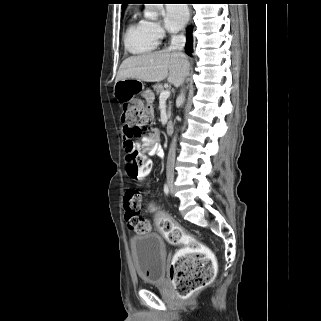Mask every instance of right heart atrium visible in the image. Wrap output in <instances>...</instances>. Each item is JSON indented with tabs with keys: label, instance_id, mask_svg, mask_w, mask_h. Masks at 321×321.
Segmentation results:
<instances>
[{
	"label": "right heart atrium",
	"instance_id": "right-heart-atrium-1",
	"mask_svg": "<svg viewBox=\"0 0 321 321\" xmlns=\"http://www.w3.org/2000/svg\"><path fill=\"white\" fill-rule=\"evenodd\" d=\"M149 30L157 38L162 39L165 36V31L160 23L155 21H147Z\"/></svg>",
	"mask_w": 321,
	"mask_h": 321
}]
</instances>
